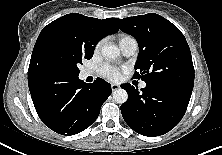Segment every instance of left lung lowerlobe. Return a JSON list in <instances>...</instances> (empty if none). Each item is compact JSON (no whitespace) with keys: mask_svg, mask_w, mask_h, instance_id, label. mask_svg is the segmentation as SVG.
Instances as JSON below:
<instances>
[{"mask_svg":"<svg viewBox=\"0 0 222 155\" xmlns=\"http://www.w3.org/2000/svg\"><path fill=\"white\" fill-rule=\"evenodd\" d=\"M121 87L128 100L121 105L125 122L137 133L155 137L174 128L184 116L191 94L171 87L146 84L138 91L129 83Z\"/></svg>","mask_w":222,"mask_h":155,"instance_id":"0a47b994","label":"left lung lower lobe"}]
</instances>
